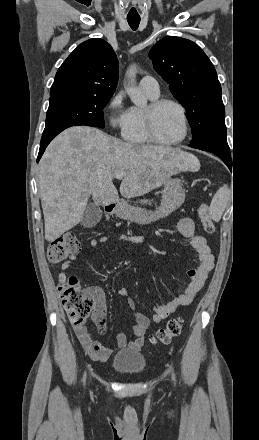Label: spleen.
Returning <instances> with one entry per match:
<instances>
[{"label":"spleen","mask_w":259,"mask_h":440,"mask_svg":"<svg viewBox=\"0 0 259 440\" xmlns=\"http://www.w3.org/2000/svg\"><path fill=\"white\" fill-rule=\"evenodd\" d=\"M231 197V192L227 185H223L218 189L215 193L209 208L210 217L218 222L220 221L227 203L229 202Z\"/></svg>","instance_id":"1"}]
</instances>
